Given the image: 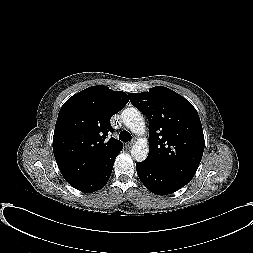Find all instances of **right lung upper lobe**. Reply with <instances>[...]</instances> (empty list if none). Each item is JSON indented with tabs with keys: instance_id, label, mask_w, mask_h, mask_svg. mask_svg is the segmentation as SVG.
Masks as SVG:
<instances>
[{
	"instance_id": "right-lung-upper-lobe-1",
	"label": "right lung upper lobe",
	"mask_w": 253,
	"mask_h": 253,
	"mask_svg": "<svg viewBox=\"0 0 253 253\" xmlns=\"http://www.w3.org/2000/svg\"><path fill=\"white\" fill-rule=\"evenodd\" d=\"M129 101L122 91L99 85L69 98L61 107L53 136V151L68 183L98 172L123 148L108 134L111 117Z\"/></svg>"
}]
</instances>
